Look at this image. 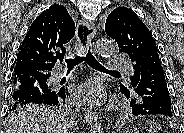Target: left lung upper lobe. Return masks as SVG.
<instances>
[{
  "mask_svg": "<svg viewBox=\"0 0 184 133\" xmlns=\"http://www.w3.org/2000/svg\"><path fill=\"white\" fill-rule=\"evenodd\" d=\"M105 32L118 44L119 51L127 53L134 63L131 86H120L121 91H133L142 78L144 61L150 58L154 51L157 52L152 34L138 16L126 7L116 8L108 15Z\"/></svg>",
  "mask_w": 184,
  "mask_h": 133,
  "instance_id": "obj_1",
  "label": "left lung upper lobe"
}]
</instances>
